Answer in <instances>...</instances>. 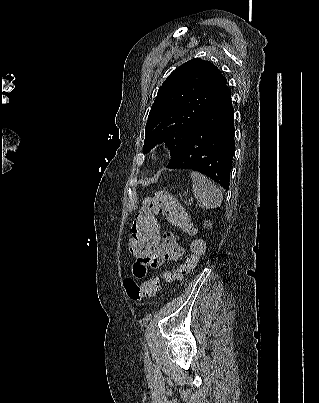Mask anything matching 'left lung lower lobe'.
Segmentation results:
<instances>
[{
  "mask_svg": "<svg viewBox=\"0 0 319 403\" xmlns=\"http://www.w3.org/2000/svg\"><path fill=\"white\" fill-rule=\"evenodd\" d=\"M234 144L233 106L225 85L193 128L183 150L171 159L167 168L196 170L227 191Z\"/></svg>",
  "mask_w": 319,
  "mask_h": 403,
  "instance_id": "1",
  "label": "left lung lower lobe"
}]
</instances>
